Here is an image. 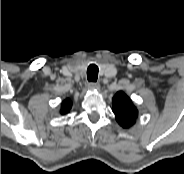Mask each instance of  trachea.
<instances>
[{"label": "trachea", "instance_id": "1", "mask_svg": "<svg viewBox=\"0 0 184 174\" xmlns=\"http://www.w3.org/2000/svg\"><path fill=\"white\" fill-rule=\"evenodd\" d=\"M98 67L95 64L89 65L87 69V79L90 82H96L98 78Z\"/></svg>", "mask_w": 184, "mask_h": 174}]
</instances>
